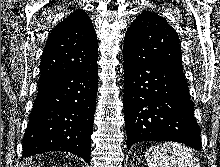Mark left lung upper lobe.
Returning a JSON list of instances; mask_svg holds the SVG:
<instances>
[{
  "label": "left lung upper lobe",
  "mask_w": 220,
  "mask_h": 167,
  "mask_svg": "<svg viewBox=\"0 0 220 167\" xmlns=\"http://www.w3.org/2000/svg\"><path fill=\"white\" fill-rule=\"evenodd\" d=\"M123 54L141 62H154L183 70L179 37L160 15L144 11L130 25Z\"/></svg>",
  "instance_id": "obj_1"
}]
</instances>
